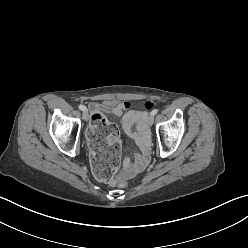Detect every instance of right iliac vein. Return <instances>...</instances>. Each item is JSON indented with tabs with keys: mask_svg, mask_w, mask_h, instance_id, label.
I'll use <instances>...</instances> for the list:
<instances>
[{
	"mask_svg": "<svg viewBox=\"0 0 248 248\" xmlns=\"http://www.w3.org/2000/svg\"><path fill=\"white\" fill-rule=\"evenodd\" d=\"M82 118H83L84 121H88L89 115H88V112L86 110L83 112Z\"/></svg>",
	"mask_w": 248,
	"mask_h": 248,
	"instance_id": "1",
	"label": "right iliac vein"
}]
</instances>
